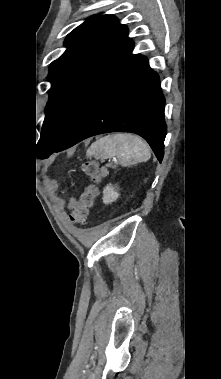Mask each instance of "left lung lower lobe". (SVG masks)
Wrapping results in <instances>:
<instances>
[{
    "label": "left lung lower lobe",
    "instance_id": "left-lung-lower-lobe-1",
    "mask_svg": "<svg viewBox=\"0 0 221 379\" xmlns=\"http://www.w3.org/2000/svg\"><path fill=\"white\" fill-rule=\"evenodd\" d=\"M165 98L158 75L137 58L107 87L54 151L102 133L132 132L143 137L161 162L167 132Z\"/></svg>",
    "mask_w": 221,
    "mask_h": 379
}]
</instances>
